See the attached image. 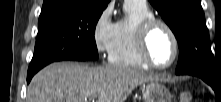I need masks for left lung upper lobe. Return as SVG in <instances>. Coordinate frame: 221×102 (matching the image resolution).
<instances>
[{
  "instance_id": "left-lung-upper-lobe-1",
  "label": "left lung upper lobe",
  "mask_w": 221,
  "mask_h": 102,
  "mask_svg": "<svg viewBox=\"0 0 221 102\" xmlns=\"http://www.w3.org/2000/svg\"><path fill=\"white\" fill-rule=\"evenodd\" d=\"M149 2L168 24L178 41L180 55L175 73H201L215 77L218 64L211 51L200 0Z\"/></svg>"
}]
</instances>
